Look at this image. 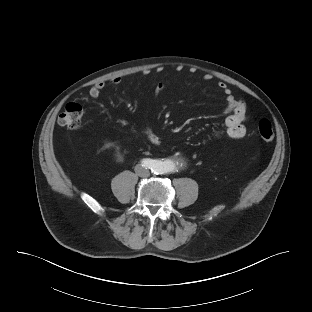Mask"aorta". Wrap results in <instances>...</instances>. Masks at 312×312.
Masks as SVG:
<instances>
[{
    "label": "aorta",
    "mask_w": 312,
    "mask_h": 312,
    "mask_svg": "<svg viewBox=\"0 0 312 312\" xmlns=\"http://www.w3.org/2000/svg\"><path fill=\"white\" fill-rule=\"evenodd\" d=\"M175 163L172 160H166L163 162V167L165 171H173L175 169Z\"/></svg>",
    "instance_id": "762f6f07"
}]
</instances>
